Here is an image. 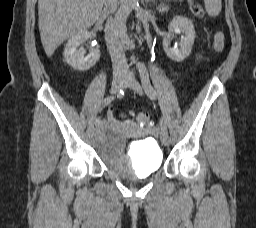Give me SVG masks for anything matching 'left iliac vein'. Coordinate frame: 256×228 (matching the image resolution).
Returning a JSON list of instances; mask_svg holds the SVG:
<instances>
[{"label":"left iliac vein","instance_id":"left-iliac-vein-1","mask_svg":"<svg viewBox=\"0 0 256 228\" xmlns=\"http://www.w3.org/2000/svg\"><path fill=\"white\" fill-rule=\"evenodd\" d=\"M129 83V87H131L135 92L138 94H142V88L140 84L135 80L131 73L127 74L125 85ZM160 139L163 145L169 146L170 144V137L167 131L161 130L160 132Z\"/></svg>","mask_w":256,"mask_h":228}]
</instances>
